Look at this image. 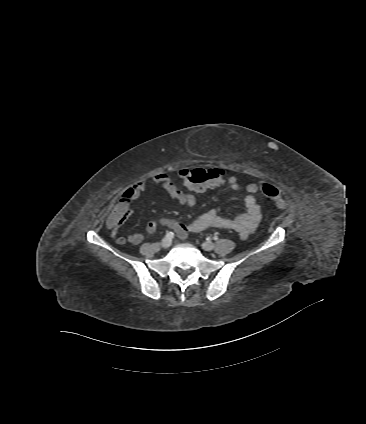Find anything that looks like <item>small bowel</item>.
<instances>
[{
	"instance_id": "1",
	"label": "small bowel",
	"mask_w": 366,
	"mask_h": 424,
	"mask_svg": "<svg viewBox=\"0 0 366 424\" xmlns=\"http://www.w3.org/2000/svg\"><path fill=\"white\" fill-rule=\"evenodd\" d=\"M213 169L220 172V174L215 183L203 189H192L188 187L190 191H182L165 173L156 175L153 178V182L155 184H160L173 200L177 201L181 205L192 207L196 203V198L192 192H203L207 189H212L224 183L223 170L218 168ZM227 184L233 191L240 190V185L236 177H229L227 179ZM247 187V194L244 197V205L246 210L240 215L232 218L224 217L219 213L218 209L214 208L198 216L188 225H184L171 218L161 217L157 220L148 222L146 225V231L148 234H153L157 230L158 226H163L174 230L181 239H185L189 232H202L209 228H220L232 230L240 238L244 239L255 232L262 218L261 208L257 204V201L254 197L255 192L248 191ZM145 188V180H140L135 183L126 191L131 193L129 200L136 199L145 190ZM127 218H121L118 216L114 209L107 219V226L113 230L112 237L117 243L124 244L125 242H128L130 244L137 245L144 239V236L141 233H134L128 237H124L119 233L121 226L124 224Z\"/></svg>"
}]
</instances>
